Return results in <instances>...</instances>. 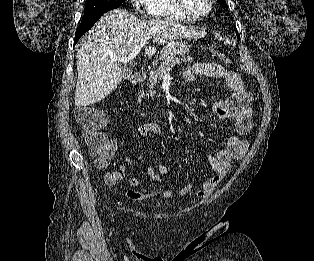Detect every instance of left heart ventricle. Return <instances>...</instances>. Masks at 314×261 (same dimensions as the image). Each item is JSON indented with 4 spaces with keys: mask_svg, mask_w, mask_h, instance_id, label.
Returning <instances> with one entry per match:
<instances>
[{
    "mask_svg": "<svg viewBox=\"0 0 314 261\" xmlns=\"http://www.w3.org/2000/svg\"><path fill=\"white\" fill-rule=\"evenodd\" d=\"M187 7L196 14L204 13L208 7L207 0H185Z\"/></svg>",
    "mask_w": 314,
    "mask_h": 261,
    "instance_id": "left-heart-ventricle-1",
    "label": "left heart ventricle"
}]
</instances>
